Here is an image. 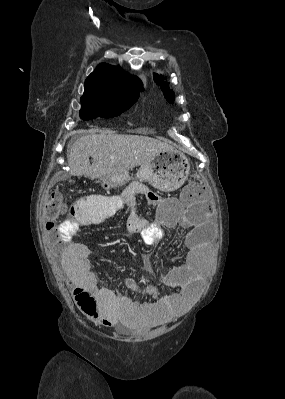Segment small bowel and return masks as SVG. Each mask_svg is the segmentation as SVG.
Returning <instances> with one entry per match:
<instances>
[{
  "label": "small bowel",
  "instance_id": "small-bowel-1",
  "mask_svg": "<svg viewBox=\"0 0 285 399\" xmlns=\"http://www.w3.org/2000/svg\"><path fill=\"white\" fill-rule=\"evenodd\" d=\"M148 193L141 184L134 183L120 196L79 198L70 205V217L60 228L65 232L79 233L82 228L96 226L125 210L127 230L131 233L140 232L145 243L154 244L165 237L163 227L156 220L143 219L136 211V196H147ZM157 207L168 209L163 202ZM191 212L192 216L198 213L196 206H191ZM182 215V212L179 213L180 217ZM201 235L200 231H194L186 236L184 260L159 278L161 284L177 289V293L164 296L153 283L139 286L131 278L122 279L123 285L132 292L151 297L153 301L149 304L138 303L123 292L99 286L97 277L89 267L90 247L82 242L66 244L62 248L61 259L77 308L92 321L105 326L126 322L149 329L180 317L191 305L205 273L207 260L200 244ZM90 301L95 302L96 306H91Z\"/></svg>",
  "mask_w": 285,
  "mask_h": 399
}]
</instances>
